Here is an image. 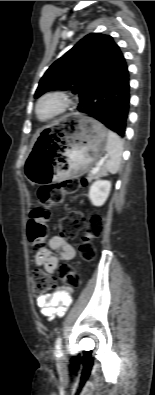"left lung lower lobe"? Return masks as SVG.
<instances>
[{
	"label": "left lung lower lobe",
	"instance_id": "obj_1",
	"mask_svg": "<svg viewBox=\"0 0 155 395\" xmlns=\"http://www.w3.org/2000/svg\"><path fill=\"white\" fill-rule=\"evenodd\" d=\"M129 81L128 66L123 59L104 75L98 87L81 103L79 111L124 137L130 104Z\"/></svg>",
	"mask_w": 155,
	"mask_h": 395
}]
</instances>
